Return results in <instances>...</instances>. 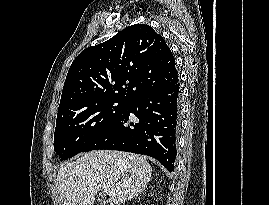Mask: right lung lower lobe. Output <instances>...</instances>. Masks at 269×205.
Masks as SVG:
<instances>
[{
	"label": "right lung lower lobe",
	"instance_id": "obj_1",
	"mask_svg": "<svg viewBox=\"0 0 269 205\" xmlns=\"http://www.w3.org/2000/svg\"><path fill=\"white\" fill-rule=\"evenodd\" d=\"M179 83L148 91L127 103L124 112L82 152L97 149L127 151L157 159L174 170L179 128ZM130 113L136 116L131 122Z\"/></svg>",
	"mask_w": 269,
	"mask_h": 205
}]
</instances>
